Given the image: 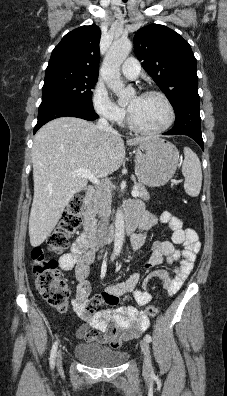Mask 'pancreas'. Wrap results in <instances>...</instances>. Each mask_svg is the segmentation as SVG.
Instances as JSON below:
<instances>
[{
  "mask_svg": "<svg viewBox=\"0 0 227 396\" xmlns=\"http://www.w3.org/2000/svg\"><path fill=\"white\" fill-rule=\"evenodd\" d=\"M134 189H136L139 192V197L145 201L149 200L150 196L149 193L147 192V189L144 184L142 183H137L135 182L134 184ZM100 197V196H98ZM100 209V202L99 200H95L91 207L88 209V214H89V220L95 224L96 221V215L98 214Z\"/></svg>",
  "mask_w": 227,
  "mask_h": 396,
  "instance_id": "1",
  "label": "pancreas"
}]
</instances>
